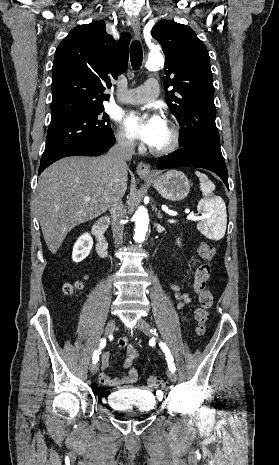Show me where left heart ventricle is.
<instances>
[{"instance_id": "obj_1", "label": "left heart ventricle", "mask_w": 279, "mask_h": 465, "mask_svg": "<svg viewBox=\"0 0 279 465\" xmlns=\"http://www.w3.org/2000/svg\"><path fill=\"white\" fill-rule=\"evenodd\" d=\"M171 141V130L165 123L155 140L150 145L153 148L159 149L166 147Z\"/></svg>"}]
</instances>
